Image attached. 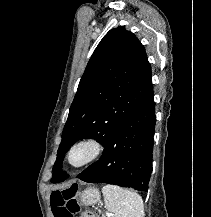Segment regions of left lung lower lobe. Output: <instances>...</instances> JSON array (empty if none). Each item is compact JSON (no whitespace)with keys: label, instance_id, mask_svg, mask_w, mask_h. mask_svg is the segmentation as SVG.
I'll use <instances>...</instances> for the list:
<instances>
[{"label":"left lung lower lobe","instance_id":"obj_1","mask_svg":"<svg viewBox=\"0 0 211 217\" xmlns=\"http://www.w3.org/2000/svg\"><path fill=\"white\" fill-rule=\"evenodd\" d=\"M152 94L110 134L102 157L77 178L90 183H108L147 191L152 172L155 131Z\"/></svg>","mask_w":211,"mask_h":217}]
</instances>
